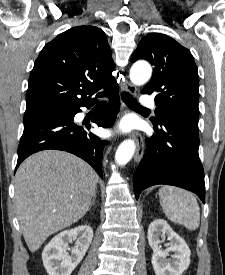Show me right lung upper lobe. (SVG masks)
<instances>
[{
	"instance_id": "1",
	"label": "right lung upper lobe",
	"mask_w": 225,
	"mask_h": 275,
	"mask_svg": "<svg viewBox=\"0 0 225 275\" xmlns=\"http://www.w3.org/2000/svg\"><path fill=\"white\" fill-rule=\"evenodd\" d=\"M105 33L94 26L69 29L45 45L31 71L24 115L87 105L101 89L117 87Z\"/></svg>"
}]
</instances>
